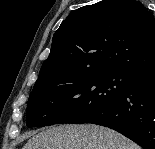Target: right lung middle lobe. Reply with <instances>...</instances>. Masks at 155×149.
<instances>
[{"label": "right lung middle lobe", "instance_id": "obj_1", "mask_svg": "<svg viewBox=\"0 0 155 149\" xmlns=\"http://www.w3.org/2000/svg\"><path fill=\"white\" fill-rule=\"evenodd\" d=\"M131 72H77L35 83L26 113L28 127L89 123L130 87Z\"/></svg>", "mask_w": 155, "mask_h": 149}]
</instances>
